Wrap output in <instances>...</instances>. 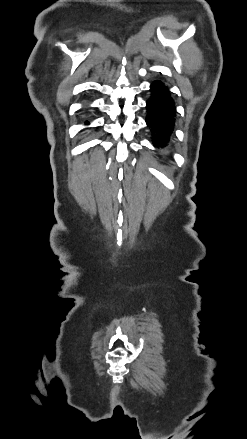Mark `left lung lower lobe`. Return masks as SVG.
Listing matches in <instances>:
<instances>
[{"label":"left lung lower lobe","mask_w":247,"mask_h":439,"mask_svg":"<svg viewBox=\"0 0 247 439\" xmlns=\"http://www.w3.org/2000/svg\"><path fill=\"white\" fill-rule=\"evenodd\" d=\"M152 97L147 101L149 115L146 123L155 133L154 143L165 146L174 125V103L168 95L167 87L161 81L151 84Z\"/></svg>","instance_id":"0a47b994"}]
</instances>
